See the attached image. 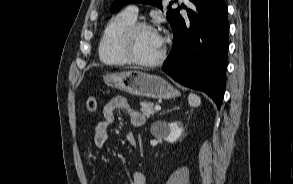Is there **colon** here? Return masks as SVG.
Returning a JSON list of instances; mask_svg holds the SVG:
<instances>
[{"instance_id":"colon-1","label":"colon","mask_w":293,"mask_h":184,"mask_svg":"<svg viewBox=\"0 0 293 184\" xmlns=\"http://www.w3.org/2000/svg\"><path fill=\"white\" fill-rule=\"evenodd\" d=\"M87 110L91 113L95 112L97 109V99L95 95H90L86 101Z\"/></svg>"}]
</instances>
